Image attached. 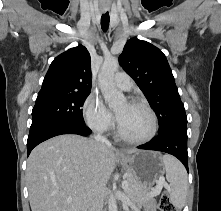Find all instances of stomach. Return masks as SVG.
I'll return each instance as SVG.
<instances>
[{
    "mask_svg": "<svg viewBox=\"0 0 221 211\" xmlns=\"http://www.w3.org/2000/svg\"><path fill=\"white\" fill-rule=\"evenodd\" d=\"M118 160L128 176L138 182L144 190L151 189L165 172L162 156L154 151L121 154Z\"/></svg>",
    "mask_w": 221,
    "mask_h": 211,
    "instance_id": "0dacf381",
    "label": "stomach"
}]
</instances>
